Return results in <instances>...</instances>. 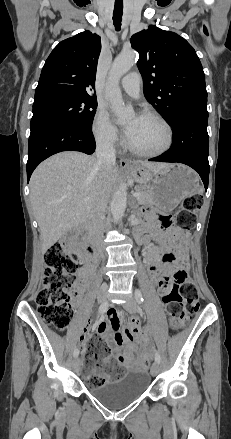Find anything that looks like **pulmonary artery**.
I'll use <instances>...</instances> for the list:
<instances>
[{
  "instance_id": "pulmonary-artery-1",
  "label": "pulmonary artery",
  "mask_w": 231,
  "mask_h": 439,
  "mask_svg": "<svg viewBox=\"0 0 231 439\" xmlns=\"http://www.w3.org/2000/svg\"><path fill=\"white\" fill-rule=\"evenodd\" d=\"M141 77L137 72L125 75L121 80V86L132 97H138L140 93Z\"/></svg>"
}]
</instances>
